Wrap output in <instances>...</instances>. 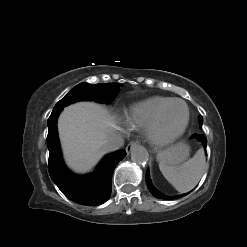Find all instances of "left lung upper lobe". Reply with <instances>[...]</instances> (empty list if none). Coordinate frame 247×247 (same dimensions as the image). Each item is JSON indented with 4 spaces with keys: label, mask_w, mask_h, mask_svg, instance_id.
Here are the masks:
<instances>
[{
    "label": "left lung upper lobe",
    "mask_w": 247,
    "mask_h": 247,
    "mask_svg": "<svg viewBox=\"0 0 247 247\" xmlns=\"http://www.w3.org/2000/svg\"><path fill=\"white\" fill-rule=\"evenodd\" d=\"M202 123H203V118L202 116H200V124L202 125Z\"/></svg>",
    "instance_id": "5c2ea615"
}]
</instances>
